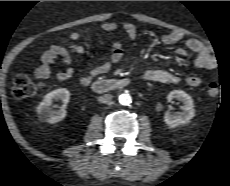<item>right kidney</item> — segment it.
Returning <instances> with one entry per match:
<instances>
[{"label":"right kidney","mask_w":230,"mask_h":186,"mask_svg":"<svg viewBox=\"0 0 230 186\" xmlns=\"http://www.w3.org/2000/svg\"><path fill=\"white\" fill-rule=\"evenodd\" d=\"M69 99L70 93L65 88H60L49 92L44 96L43 101L37 107L39 119L48 123H57L62 121L66 116L65 107L68 104ZM53 100H61L63 102L64 105L60 110H53L50 108Z\"/></svg>","instance_id":"ca27d5eb"}]
</instances>
